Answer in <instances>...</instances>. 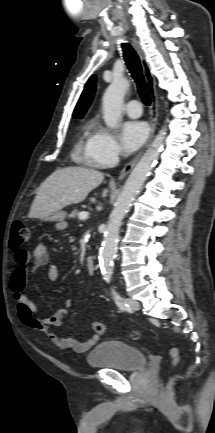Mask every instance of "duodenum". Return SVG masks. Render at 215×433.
<instances>
[{"instance_id":"410a0bca","label":"duodenum","mask_w":215,"mask_h":433,"mask_svg":"<svg viewBox=\"0 0 215 433\" xmlns=\"http://www.w3.org/2000/svg\"><path fill=\"white\" fill-rule=\"evenodd\" d=\"M85 266H86L87 271L90 274H92V275L95 274L96 268H95L94 259L92 257H90V256L86 257V259H85Z\"/></svg>"}]
</instances>
